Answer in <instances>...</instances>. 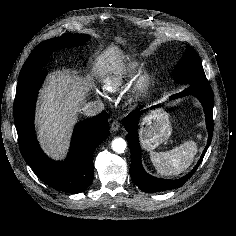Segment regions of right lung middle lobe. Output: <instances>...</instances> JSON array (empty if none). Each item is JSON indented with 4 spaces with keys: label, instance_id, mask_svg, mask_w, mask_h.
<instances>
[{
    "label": "right lung middle lobe",
    "instance_id": "dd1d6c3e",
    "mask_svg": "<svg viewBox=\"0 0 236 236\" xmlns=\"http://www.w3.org/2000/svg\"><path fill=\"white\" fill-rule=\"evenodd\" d=\"M88 39L89 36L84 34L66 35L60 38L49 39L38 44L24 63L19 78L41 70L47 63L49 56L53 51L65 47L79 46L85 43Z\"/></svg>",
    "mask_w": 236,
    "mask_h": 236
}]
</instances>
